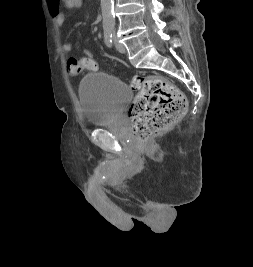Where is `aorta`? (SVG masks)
<instances>
[{
	"label": "aorta",
	"instance_id": "1",
	"mask_svg": "<svg viewBox=\"0 0 253 267\" xmlns=\"http://www.w3.org/2000/svg\"><path fill=\"white\" fill-rule=\"evenodd\" d=\"M101 12L103 26H110V28H114L115 18L113 0H101Z\"/></svg>",
	"mask_w": 253,
	"mask_h": 267
}]
</instances>
